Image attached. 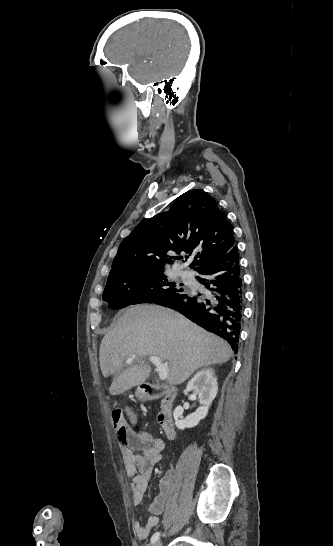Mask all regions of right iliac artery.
<instances>
[{
  "instance_id": "right-iliac-artery-1",
  "label": "right iliac artery",
  "mask_w": 333,
  "mask_h": 546,
  "mask_svg": "<svg viewBox=\"0 0 333 546\" xmlns=\"http://www.w3.org/2000/svg\"><path fill=\"white\" fill-rule=\"evenodd\" d=\"M159 536H160V532L155 533V534L151 537V544H154V543L159 539Z\"/></svg>"
}]
</instances>
